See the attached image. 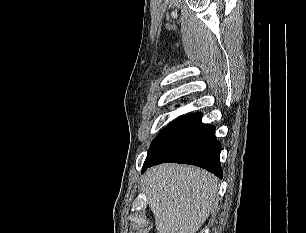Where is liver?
<instances>
[{
	"label": "liver",
	"instance_id": "6515ba94",
	"mask_svg": "<svg viewBox=\"0 0 306 233\" xmlns=\"http://www.w3.org/2000/svg\"><path fill=\"white\" fill-rule=\"evenodd\" d=\"M157 233H196L217 208L218 179L193 166L161 164L142 178Z\"/></svg>",
	"mask_w": 306,
	"mask_h": 233
}]
</instances>
